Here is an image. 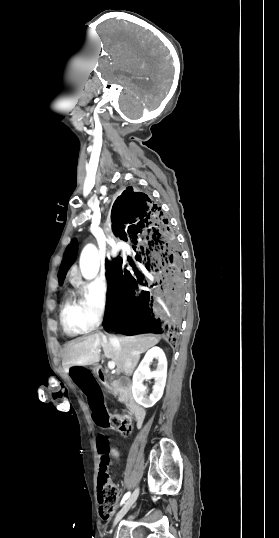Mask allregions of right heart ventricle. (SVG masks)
I'll return each instance as SVG.
<instances>
[{
  "instance_id": "obj_1",
  "label": "right heart ventricle",
  "mask_w": 279,
  "mask_h": 538,
  "mask_svg": "<svg viewBox=\"0 0 279 538\" xmlns=\"http://www.w3.org/2000/svg\"><path fill=\"white\" fill-rule=\"evenodd\" d=\"M62 218L59 209H57L52 221L49 220V227L54 226L56 232L64 239L69 237L71 232L69 227L62 228ZM88 230H92V227H87ZM60 320L64 331L68 335H76L88 331V325L84 316V301L82 298H76L72 294H69L60 311Z\"/></svg>"
}]
</instances>
